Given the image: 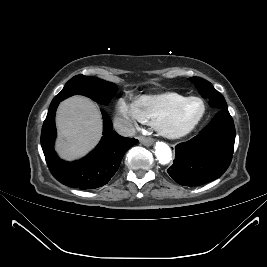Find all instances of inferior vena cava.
Wrapping results in <instances>:
<instances>
[{"label":"inferior vena cava","instance_id":"obj_1","mask_svg":"<svg viewBox=\"0 0 267 267\" xmlns=\"http://www.w3.org/2000/svg\"><path fill=\"white\" fill-rule=\"evenodd\" d=\"M114 129L122 136L133 137L136 130L131 122L123 118H117L113 123Z\"/></svg>","mask_w":267,"mask_h":267}]
</instances>
